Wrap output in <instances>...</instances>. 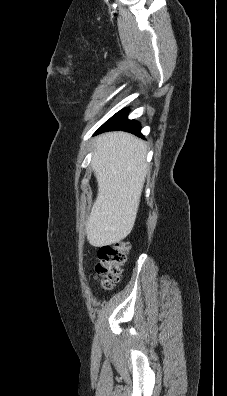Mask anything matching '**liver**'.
<instances>
[{
	"label": "liver",
	"mask_w": 227,
	"mask_h": 396,
	"mask_svg": "<svg viewBox=\"0 0 227 396\" xmlns=\"http://www.w3.org/2000/svg\"><path fill=\"white\" fill-rule=\"evenodd\" d=\"M92 170L98 194L86 223L88 242L94 247L111 245L133 229L145 177L146 144L126 132H109L94 142Z\"/></svg>",
	"instance_id": "1"
}]
</instances>
